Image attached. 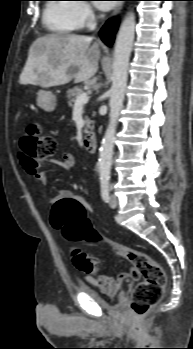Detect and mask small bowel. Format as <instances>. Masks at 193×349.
I'll return each instance as SVG.
<instances>
[{
  "mask_svg": "<svg viewBox=\"0 0 193 349\" xmlns=\"http://www.w3.org/2000/svg\"><path fill=\"white\" fill-rule=\"evenodd\" d=\"M20 161L22 167L25 169V171L33 176L36 180L41 182L42 184L46 183V174L45 172L39 170V168H36L35 170L31 169L26 165L25 159L22 155H20ZM50 163H53L55 165L60 166L61 168L65 170H71L73 169L75 165V158L73 154L69 151H64L62 153L61 159H52L50 160ZM64 200H75L79 202L85 209L91 210V205L87 201L85 197L79 194H75L69 189H60L57 194L47 200V204H55L60 201ZM139 276L138 271L132 267L129 271L120 272L115 278L109 277V276H100L97 278L92 277L91 275L87 276V280L94 284L95 286L99 287L101 290H103L107 294H113L115 293L122 283L128 279H137Z\"/></svg>",
  "mask_w": 193,
  "mask_h": 349,
  "instance_id": "obj_1",
  "label": "small bowel"
}]
</instances>
